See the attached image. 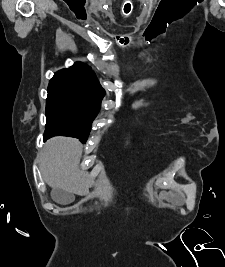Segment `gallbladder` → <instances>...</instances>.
<instances>
[{"label":"gallbladder","instance_id":"gallbladder-1","mask_svg":"<svg viewBox=\"0 0 225 267\" xmlns=\"http://www.w3.org/2000/svg\"><path fill=\"white\" fill-rule=\"evenodd\" d=\"M53 200L59 204L66 205L74 201V195L61 188L54 187L51 192Z\"/></svg>","mask_w":225,"mask_h":267}]
</instances>
